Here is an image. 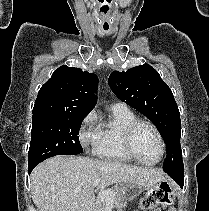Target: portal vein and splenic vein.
Here are the masks:
<instances>
[{"label":"portal vein and splenic vein","instance_id":"18ae733b","mask_svg":"<svg viewBox=\"0 0 209 211\" xmlns=\"http://www.w3.org/2000/svg\"><path fill=\"white\" fill-rule=\"evenodd\" d=\"M101 180L97 179L93 182V186H98L100 184ZM115 196V192L111 190H102L99 192L98 197L101 199L106 200L109 203H113V198Z\"/></svg>","mask_w":209,"mask_h":211}]
</instances>
